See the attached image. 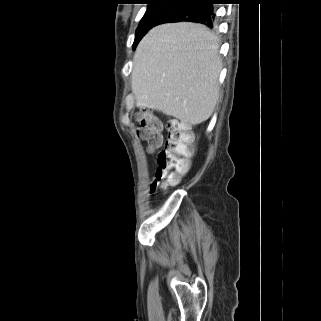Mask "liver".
I'll list each match as a JSON object with an SVG mask.
<instances>
[{
  "label": "liver",
  "mask_w": 321,
  "mask_h": 321,
  "mask_svg": "<svg viewBox=\"0 0 321 321\" xmlns=\"http://www.w3.org/2000/svg\"><path fill=\"white\" fill-rule=\"evenodd\" d=\"M218 38L201 24L180 22L151 29L139 43L131 75L136 106L198 125L219 97L222 61Z\"/></svg>",
  "instance_id": "obj_1"
}]
</instances>
